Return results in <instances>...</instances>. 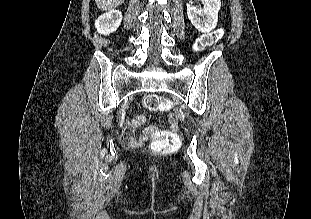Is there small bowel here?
<instances>
[{
  "label": "small bowel",
  "instance_id": "small-bowel-1",
  "mask_svg": "<svg viewBox=\"0 0 311 219\" xmlns=\"http://www.w3.org/2000/svg\"><path fill=\"white\" fill-rule=\"evenodd\" d=\"M145 122V118L143 116H136L134 119H132L129 123V135L125 138L126 142H130L134 139V136L132 134V131L139 127L141 124Z\"/></svg>",
  "mask_w": 311,
  "mask_h": 219
}]
</instances>
